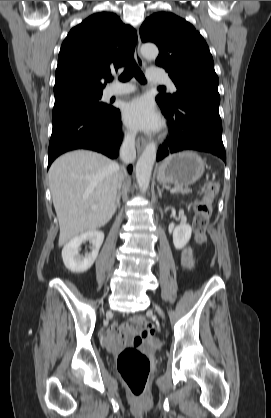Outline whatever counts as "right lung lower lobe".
<instances>
[{"label":"right lung lower lobe","instance_id":"obj_1","mask_svg":"<svg viewBox=\"0 0 271 418\" xmlns=\"http://www.w3.org/2000/svg\"><path fill=\"white\" fill-rule=\"evenodd\" d=\"M121 142L120 111L117 108L63 116L53 120L48 168L59 155L75 149H90L116 158ZM128 170L131 172L132 166Z\"/></svg>","mask_w":271,"mask_h":418}]
</instances>
